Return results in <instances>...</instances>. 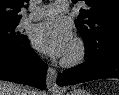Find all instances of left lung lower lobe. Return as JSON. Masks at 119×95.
<instances>
[{
	"mask_svg": "<svg viewBox=\"0 0 119 95\" xmlns=\"http://www.w3.org/2000/svg\"><path fill=\"white\" fill-rule=\"evenodd\" d=\"M85 60L81 65L64 70L57 84L72 85L103 78H119V42L109 46L85 47Z\"/></svg>",
	"mask_w": 119,
	"mask_h": 95,
	"instance_id": "1",
	"label": "left lung lower lobe"
}]
</instances>
